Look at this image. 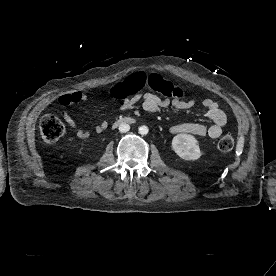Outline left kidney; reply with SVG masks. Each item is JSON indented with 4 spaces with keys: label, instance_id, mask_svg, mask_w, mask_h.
Listing matches in <instances>:
<instances>
[{
    "label": "left kidney",
    "instance_id": "5707ae66",
    "mask_svg": "<svg viewBox=\"0 0 276 276\" xmlns=\"http://www.w3.org/2000/svg\"><path fill=\"white\" fill-rule=\"evenodd\" d=\"M172 149L184 160H197L202 152L197 139L190 134H178L172 140Z\"/></svg>",
    "mask_w": 276,
    "mask_h": 276
}]
</instances>
